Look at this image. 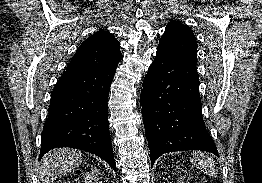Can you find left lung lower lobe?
<instances>
[{"label": "left lung lower lobe", "instance_id": "left-lung-lower-lobe-1", "mask_svg": "<svg viewBox=\"0 0 262 183\" xmlns=\"http://www.w3.org/2000/svg\"><path fill=\"white\" fill-rule=\"evenodd\" d=\"M140 99L151 167L168 152L201 150L219 156L203 121L196 66L157 52Z\"/></svg>", "mask_w": 262, "mask_h": 183}]
</instances>
